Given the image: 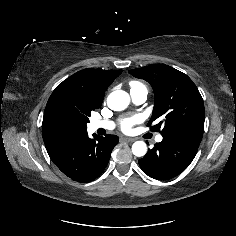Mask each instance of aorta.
I'll return each mask as SVG.
<instances>
[{
  "label": "aorta",
  "mask_w": 236,
  "mask_h": 236,
  "mask_svg": "<svg viewBox=\"0 0 236 236\" xmlns=\"http://www.w3.org/2000/svg\"><path fill=\"white\" fill-rule=\"evenodd\" d=\"M130 102L129 94L123 90L111 92L107 97V105L111 110L122 111L127 108ZM132 153L142 157L147 153V145L143 141H136L132 145Z\"/></svg>",
  "instance_id": "762f6f07"
}]
</instances>
